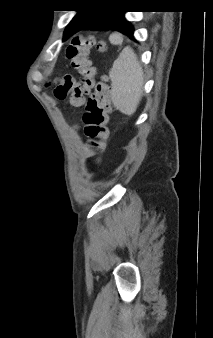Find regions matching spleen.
<instances>
[{"label": "spleen", "instance_id": "1", "mask_svg": "<svg viewBox=\"0 0 213 338\" xmlns=\"http://www.w3.org/2000/svg\"><path fill=\"white\" fill-rule=\"evenodd\" d=\"M109 77L114 107L125 115L134 114L142 97L144 73L131 47L121 51Z\"/></svg>", "mask_w": 213, "mask_h": 338}]
</instances>
